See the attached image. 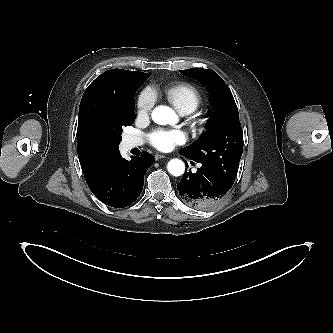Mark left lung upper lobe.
<instances>
[{"mask_svg":"<svg viewBox=\"0 0 333 333\" xmlns=\"http://www.w3.org/2000/svg\"><path fill=\"white\" fill-rule=\"evenodd\" d=\"M180 72L201 82L211 94L219 111L218 114H211L208 130L180 152L233 184L243 152V132L232 93L212 70L195 68Z\"/></svg>","mask_w":333,"mask_h":333,"instance_id":"obj_1","label":"left lung upper lobe"}]
</instances>
